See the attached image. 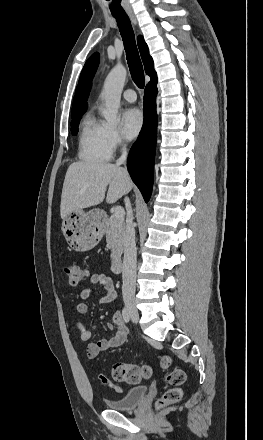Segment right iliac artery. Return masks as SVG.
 I'll return each mask as SVG.
<instances>
[{
  "label": "right iliac artery",
  "mask_w": 263,
  "mask_h": 440,
  "mask_svg": "<svg viewBox=\"0 0 263 440\" xmlns=\"http://www.w3.org/2000/svg\"><path fill=\"white\" fill-rule=\"evenodd\" d=\"M122 315H123V319H124V321H125L126 323H129V321H130V315H129V312L127 311L126 308H123V310H122Z\"/></svg>",
  "instance_id": "1"
}]
</instances>
